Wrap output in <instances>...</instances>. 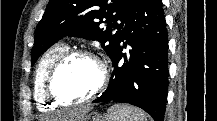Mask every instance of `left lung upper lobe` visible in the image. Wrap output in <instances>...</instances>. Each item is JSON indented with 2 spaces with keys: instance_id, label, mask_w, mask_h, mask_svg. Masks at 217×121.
<instances>
[{
  "instance_id": "obj_1",
  "label": "left lung upper lobe",
  "mask_w": 217,
  "mask_h": 121,
  "mask_svg": "<svg viewBox=\"0 0 217 121\" xmlns=\"http://www.w3.org/2000/svg\"><path fill=\"white\" fill-rule=\"evenodd\" d=\"M135 0H50L38 23L31 64L64 36L98 40L111 58Z\"/></svg>"
}]
</instances>
